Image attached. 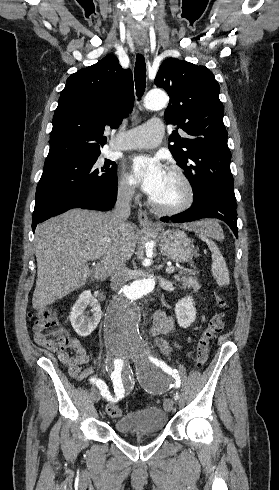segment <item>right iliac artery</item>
Masks as SVG:
<instances>
[{
    "label": "right iliac artery",
    "mask_w": 279,
    "mask_h": 490,
    "mask_svg": "<svg viewBox=\"0 0 279 490\" xmlns=\"http://www.w3.org/2000/svg\"><path fill=\"white\" fill-rule=\"evenodd\" d=\"M114 358L115 360L113 361V366H114V371L112 372L111 374V379L113 381V384H114V396L118 395V397L120 398H123L125 396V380L124 378H120V371H121V368L123 366V363H124V360L119 357L118 354H115L114 355ZM93 381V384L94 385H97V387L100 389L101 391V395L105 398H107V400H115L117 401L118 399L115 398L113 399L112 396L110 395V392L108 391V387L107 385L104 383V381L101 380L100 377H95L94 379L92 378L91 379ZM86 384H88L89 382L86 381L85 382Z\"/></svg>",
    "instance_id": "right-iliac-artery-1"
}]
</instances>
